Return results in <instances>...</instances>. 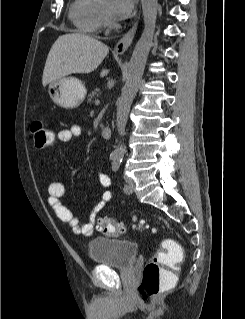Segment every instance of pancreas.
Masks as SVG:
<instances>
[{
	"instance_id": "pancreas-1",
	"label": "pancreas",
	"mask_w": 245,
	"mask_h": 319,
	"mask_svg": "<svg viewBox=\"0 0 245 319\" xmlns=\"http://www.w3.org/2000/svg\"><path fill=\"white\" fill-rule=\"evenodd\" d=\"M101 94V91L99 88H95L89 95H88V101H92V99H95L96 97H99Z\"/></svg>"
}]
</instances>
